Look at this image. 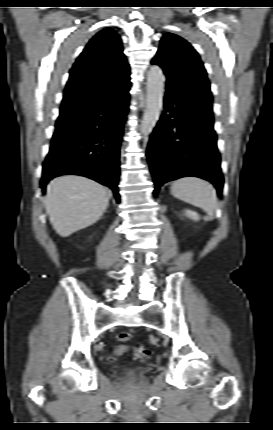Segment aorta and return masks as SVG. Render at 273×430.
Here are the masks:
<instances>
[{
  "instance_id": "aorta-1",
  "label": "aorta",
  "mask_w": 273,
  "mask_h": 430,
  "mask_svg": "<svg viewBox=\"0 0 273 430\" xmlns=\"http://www.w3.org/2000/svg\"><path fill=\"white\" fill-rule=\"evenodd\" d=\"M165 76L160 67L153 65L147 78L146 109L141 123L142 134H149L158 122L163 107Z\"/></svg>"
}]
</instances>
